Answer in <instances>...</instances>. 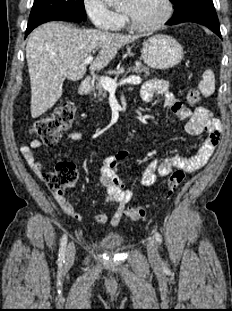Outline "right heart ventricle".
Segmentation results:
<instances>
[{
  "mask_svg": "<svg viewBox=\"0 0 232 311\" xmlns=\"http://www.w3.org/2000/svg\"><path fill=\"white\" fill-rule=\"evenodd\" d=\"M122 25H123V23L121 22L120 25L118 26V28H120ZM118 28H117V29H118Z\"/></svg>",
  "mask_w": 232,
  "mask_h": 311,
  "instance_id": "e07e8e85",
  "label": "right heart ventricle"
}]
</instances>
